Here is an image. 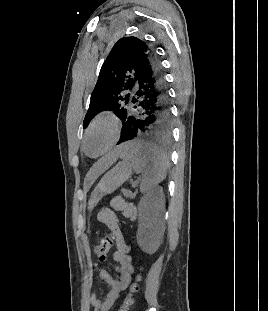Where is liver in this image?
<instances>
[{"label":"liver","instance_id":"1","mask_svg":"<svg viewBox=\"0 0 268 311\" xmlns=\"http://www.w3.org/2000/svg\"><path fill=\"white\" fill-rule=\"evenodd\" d=\"M124 151V146H120L105 157L98 160V162L91 168L87 174L89 180H95L100 174L106 171L119 156L122 155Z\"/></svg>","mask_w":268,"mask_h":311}]
</instances>
